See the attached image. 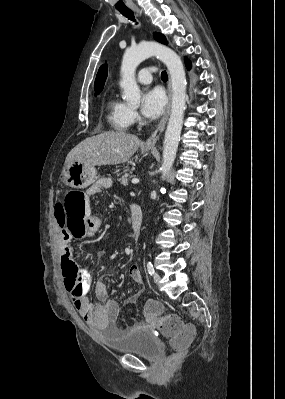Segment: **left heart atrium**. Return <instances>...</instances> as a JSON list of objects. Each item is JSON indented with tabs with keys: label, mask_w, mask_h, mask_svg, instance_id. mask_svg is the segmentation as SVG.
<instances>
[{
	"label": "left heart atrium",
	"mask_w": 285,
	"mask_h": 399,
	"mask_svg": "<svg viewBox=\"0 0 285 399\" xmlns=\"http://www.w3.org/2000/svg\"><path fill=\"white\" fill-rule=\"evenodd\" d=\"M167 104L165 93L159 88H153L145 92L142 98V113L155 119L162 115Z\"/></svg>",
	"instance_id": "left-heart-atrium-1"
}]
</instances>
